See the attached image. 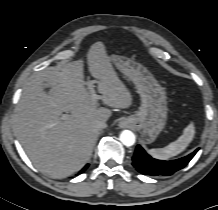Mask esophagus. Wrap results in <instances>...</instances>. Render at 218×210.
<instances>
[{"instance_id":"obj_1","label":"esophagus","mask_w":218,"mask_h":210,"mask_svg":"<svg viewBox=\"0 0 218 210\" xmlns=\"http://www.w3.org/2000/svg\"><path fill=\"white\" fill-rule=\"evenodd\" d=\"M128 125V119H122L120 122H119V126L121 127V128H124V127H126Z\"/></svg>"}]
</instances>
